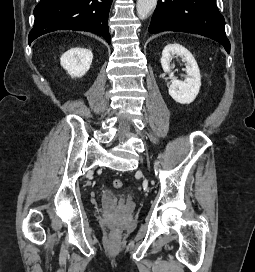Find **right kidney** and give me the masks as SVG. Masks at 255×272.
<instances>
[{
	"label": "right kidney",
	"instance_id": "ca27d5eb",
	"mask_svg": "<svg viewBox=\"0 0 255 272\" xmlns=\"http://www.w3.org/2000/svg\"><path fill=\"white\" fill-rule=\"evenodd\" d=\"M92 59L93 54L91 50L74 47L61 56L60 63L71 77H82L90 69Z\"/></svg>",
	"mask_w": 255,
	"mask_h": 272
}]
</instances>
